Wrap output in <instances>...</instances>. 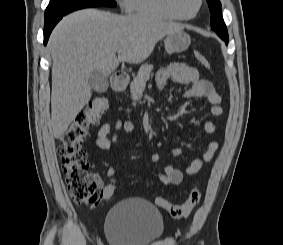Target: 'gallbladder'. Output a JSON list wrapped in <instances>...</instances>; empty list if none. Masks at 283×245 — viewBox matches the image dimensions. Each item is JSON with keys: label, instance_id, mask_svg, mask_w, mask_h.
Wrapping results in <instances>:
<instances>
[{"label": "gallbladder", "instance_id": "1", "mask_svg": "<svg viewBox=\"0 0 283 245\" xmlns=\"http://www.w3.org/2000/svg\"><path fill=\"white\" fill-rule=\"evenodd\" d=\"M89 85L96 92H105L108 88L107 76L100 71H94L89 77Z\"/></svg>", "mask_w": 283, "mask_h": 245}]
</instances>
